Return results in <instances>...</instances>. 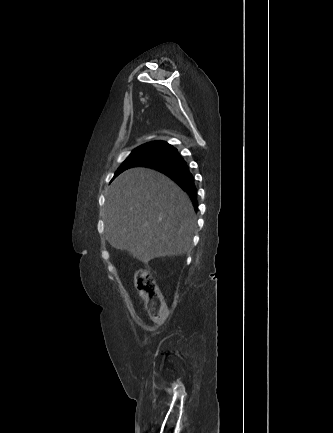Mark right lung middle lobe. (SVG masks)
Masks as SVG:
<instances>
[{
  "label": "right lung middle lobe",
  "instance_id": "1",
  "mask_svg": "<svg viewBox=\"0 0 333 433\" xmlns=\"http://www.w3.org/2000/svg\"><path fill=\"white\" fill-rule=\"evenodd\" d=\"M173 150V147L165 146L161 141L144 144L132 151L129 157L118 168L114 178L128 168L141 166L143 164L155 161L168 155Z\"/></svg>",
  "mask_w": 333,
  "mask_h": 433
}]
</instances>
